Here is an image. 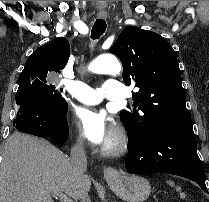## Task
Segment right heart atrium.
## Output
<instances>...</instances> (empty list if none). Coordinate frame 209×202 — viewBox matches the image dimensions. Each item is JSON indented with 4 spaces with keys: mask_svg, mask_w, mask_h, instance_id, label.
I'll list each match as a JSON object with an SVG mask.
<instances>
[{
    "mask_svg": "<svg viewBox=\"0 0 209 202\" xmlns=\"http://www.w3.org/2000/svg\"><path fill=\"white\" fill-rule=\"evenodd\" d=\"M75 143H76L77 145H80V144L82 143V139H81L79 136H77V137L75 138ZM66 170H67L68 172H70V173H74V170H73L71 167H69V166L66 167Z\"/></svg>",
    "mask_w": 209,
    "mask_h": 202,
    "instance_id": "right-heart-atrium-1",
    "label": "right heart atrium"
}]
</instances>
